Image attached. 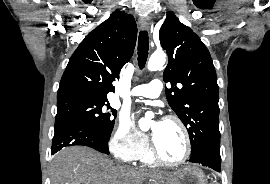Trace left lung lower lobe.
<instances>
[{"mask_svg": "<svg viewBox=\"0 0 270 184\" xmlns=\"http://www.w3.org/2000/svg\"><path fill=\"white\" fill-rule=\"evenodd\" d=\"M190 162L199 163L203 166L212 168L215 171H221L220 144H202Z\"/></svg>", "mask_w": 270, "mask_h": 184, "instance_id": "obj_1", "label": "left lung lower lobe"}]
</instances>
